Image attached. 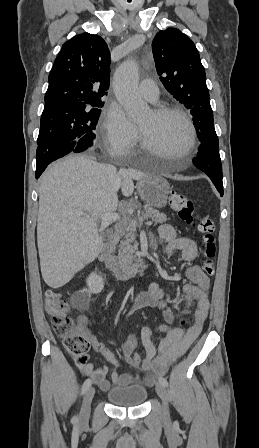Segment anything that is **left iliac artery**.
Masks as SVG:
<instances>
[{
    "label": "left iliac artery",
    "mask_w": 259,
    "mask_h": 448,
    "mask_svg": "<svg viewBox=\"0 0 259 448\" xmlns=\"http://www.w3.org/2000/svg\"><path fill=\"white\" fill-rule=\"evenodd\" d=\"M159 383L162 384L165 387L168 386V381L165 378H163V377L159 378Z\"/></svg>",
    "instance_id": "44dca946"
}]
</instances>
